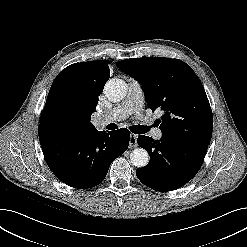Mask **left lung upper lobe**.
Masks as SVG:
<instances>
[{
	"instance_id": "5c2ea615",
	"label": "left lung upper lobe",
	"mask_w": 247,
	"mask_h": 247,
	"mask_svg": "<svg viewBox=\"0 0 247 247\" xmlns=\"http://www.w3.org/2000/svg\"><path fill=\"white\" fill-rule=\"evenodd\" d=\"M117 67L140 81L147 105L164 115L156 120L163 135L209 144L213 116L204 87L192 68L179 59H126Z\"/></svg>"
}]
</instances>
